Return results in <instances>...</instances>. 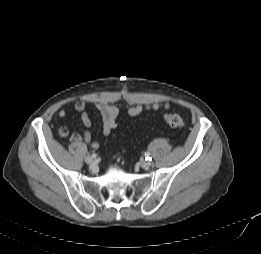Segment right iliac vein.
I'll use <instances>...</instances> for the list:
<instances>
[{
    "label": "right iliac vein",
    "mask_w": 261,
    "mask_h": 254,
    "mask_svg": "<svg viewBox=\"0 0 261 254\" xmlns=\"http://www.w3.org/2000/svg\"><path fill=\"white\" fill-rule=\"evenodd\" d=\"M85 162L89 165L94 163V159L91 156H86L85 157Z\"/></svg>",
    "instance_id": "obj_1"
}]
</instances>
